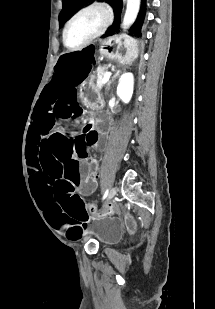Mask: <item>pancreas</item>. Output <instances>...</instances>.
Masks as SVG:
<instances>
[{
  "mask_svg": "<svg viewBox=\"0 0 215 309\" xmlns=\"http://www.w3.org/2000/svg\"><path fill=\"white\" fill-rule=\"evenodd\" d=\"M95 72V80L96 82H98V80H102L104 74H106L107 70H104V68H102V66H99L98 70H94ZM105 84H107V86H109L110 84V80H108V82H101V86L100 88H102V86H105Z\"/></svg>",
  "mask_w": 215,
  "mask_h": 309,
  "instance_id": "pancreas-1",
  "label": "pancreas"
}]
</instances>
